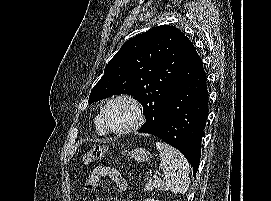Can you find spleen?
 Here are the masks:
<instances>
[{
  "instance_id": "3e777b00",
  "label": "spleen",
  "mask_w": 271,
  "mask_h": 201,
  "mask_svg": "<svg viewBox=\"0 0 271 201\" xmlns=\"http://www.w3.org/2000/svg\"><path fill=\"white\" fill-rule=\"evenodd\" d=\"M156 148L160 152V168L165 176L160 182L175 194H185L190 184L188 161L179 150L164 142H157Z\"/></svg>"
}]
</instances>
